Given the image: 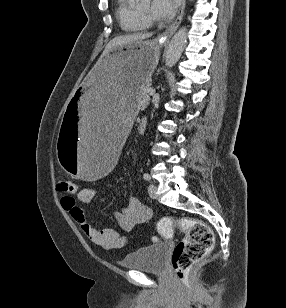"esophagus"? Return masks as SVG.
I'll return each mask as SVG.
<instances>
[{"label":"esophagus","mask_w":286,"mask_h":308,"mask_svg":"<svg viewBox=\"0 0 286 308\" xmlns=\"http://www.w3.org/2000/svg\"><path fill=\"white\" fill-rule=\"evenodd\" d=\"M184 9H185V0H181V4L178 10V15L176 20L165 30V32H163L159 38L163 41H168L171 36L175 33V31L177 30V28L179 27L182 18H183V14H184Z\"/></svg>","instance_id":"34e87169"}]
</instances>
